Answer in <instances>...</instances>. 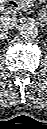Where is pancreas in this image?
I'll list each match as a JSON object with an SVG mask.
<instances>
[{
    "label": "pancreas",
    "instance_id": "1",
    "mask_svg": "<svg viewBox=\"0 0 47 129\" xmlns=\"http://www.w3.org/2000/svg\"><path fill=\"white\" fill-rule=\"evenodd\" d=\"M21 6H22V10H26L28 7V2L27 0H20Z\"/></svg>",
    "mask_w": 47,
    "mask_h": 129
}]
</instances>
